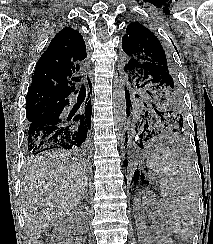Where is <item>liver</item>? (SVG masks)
Returning <instances> with one entry per match:
<instances>
[{
  "instance_id": "6515ba94",
  "label": "liver",
  "mask_w": 213,
  "mask_h": 244,
  "mask_svg": "<svg viewBox=\"0 0 213 244\" xmlns=\"http://www.w3.org/2000/svg\"><path fill=\"white\" fill-rule=\"evenodd\" d=\"M86 187V165L76 152L49 150L33 157L20 193L30 240L36 243L51 224L74 209Z\"/></svg>"
}]
</instances>
